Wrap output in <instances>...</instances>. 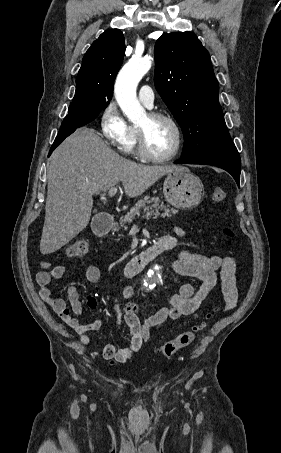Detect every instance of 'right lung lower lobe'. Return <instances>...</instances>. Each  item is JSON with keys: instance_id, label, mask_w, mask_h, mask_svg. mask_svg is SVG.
<instances>
[{"instance_id": "1", "label": "right lung lower lobe", "mask_w": 281, "mask_h": 453, "mask_svg": "<svg viewBox=\"0 0 281 453\" xmlns=\"http://www.w3.org/2000/svg\"><path fill=\"white\" fill-rule=\"evenodd\" d=\"M102 110L103 109H97L90 105H83L77 108L69 107L68 115L61 124V128L48 156L51 155L52 151L59 146L66 137L72 134L78 127L92 121Z\"/></svg>"}]
</instances>
